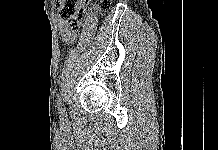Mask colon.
I'll use <instances>...</instances> for the list:
<instances>
[{
  "instance_id": "obj_1",
  "label": "colon",
  "mask_w": 218,
  "mask_h": 150,
  "mask_svg": "<svg viewBox=\"0 0 218 150\" xmlns=\"http://www.w3.org/2000/svg\"><path fill=\"white\" fill-rule=\"evenodd\" d=\"M111 0H96V7L107 8ZM89 0H59L57 9L63 19L66 20L70 29L75 33L79 32L84 21Z\"/></svg>"
}]
</instances>
